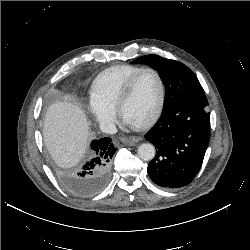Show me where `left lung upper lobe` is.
<instances>
[{"label": "left lung upper lobe", "mask_w": 250, "mask_h": 250, "mask_svg": "<svg viewBox=\"0 0 250 250\" xmlns=\"http://www.w3.org/2000/svg\"><path fill=\"white\" fill-rule=\"evenodd\" d=\"M133 63H143L158 71L166 87L163 111L192 97L204 95L196 75L184 64L158 55H146Z\"/></svg>", "instance_id": "left-lung-upper-lobe-1"}]
</instances>
